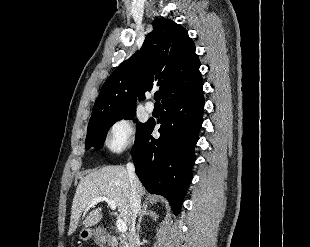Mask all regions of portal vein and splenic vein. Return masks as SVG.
I'll use <instances>...</instances> for the list:
<instances>
[{
  "label": "portal vein and splenic vein",
  "instance_id": "obj_1",
  "mask_svg": "<svg viewBox=\"0 0 310 247\" xmlns=\"http://www.w3.org/2000/svg\"><path fill=\"white\" fill-rule=\"evenodd\" d=\"M101 201L107 202L111 210H115L117 207L116 202L113 199L105 197V196H99V197L94 198L88 205L89 207H92ZM116 226H117V229L122 233L127 231V225L122 219H117Z\"/></svg>",
  "mask_w": 310,
  "mask_h": 247
}]
</instances>
